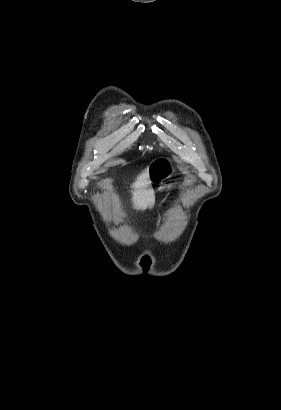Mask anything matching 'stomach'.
Instances as JSON below:
<instances>
[{
  "label": "stomach",
  "mask_w": 281,
  "mask_h": 410,
  "mask_svg": "<svg viewBox=\"0 0 281 410\" xmlns=\"http://www.w3.org/2000/svg\"><path fill=\"white\" fill-rule=\"evenodd\" d=\"M150 184H162L175 173V166L168 158H158L148 167Z\"/></svg>",
  "instance_id": "0dacf381"
}]
</instances>
